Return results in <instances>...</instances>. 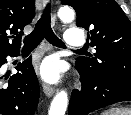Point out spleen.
<instances>
[{"label": "spleen", "instance_id": "spleen-1", "mask_svg": "<svg viewBox=\"0 0 131 115\" xmlns=\"http://www.w3.org/2000/svg\"><path fill=\"white\" fill-rule=\"evenodd\" d=\"M102 115H131V109L112 108L102 113Z\"/></svg>", "mask_w": 131, "mask_h": 115}]
</instances>
